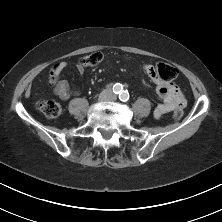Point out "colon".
<instances>
[{"mask_svg": "<svg viewBox=\"0 0 222 222\" xmlns=\"http://www.w3.org/2000/svg\"><path fill=\"white\" fill-rule=\"evenodd\" d=\"M103 59H104V54L101 51H94L83 56L80 60V63L84 67H93L99 65L103 61ZM152 66H154L155 69L160 73L165 82L170 83L177 77V70L170 64L157 63ZM148 75L150 74L148 73ZM54 80L55 79L53 78V81ZM37 106L40 109V111L49 119L57 118L58 116H60L62 112V107L60 103L55 100L40 98L37 102ZM182 115H183L182 108H177L176 110H174L172 117L175 120H180Z\"/></svg>", "mask_w": 222, "mask_h": 222, "instance_id": "5ec220e1", "label": "colon"}]
</instances>
